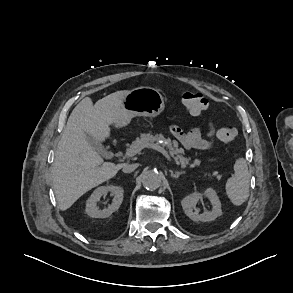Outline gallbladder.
Here are the masks:
<instances>
[{
  "label": "gallbladder",
  "mask_w": 293,
  "mask_h": 293,
  "mask_svg": "<svg viewBox=\"0 0 293 293\" xmlns=\"http://www.w3.org/2000/svg\"><path fill=\"white\" fill-rule=\"evenodd\" d=\"M87 140L89 144L100 154L105 155L106 151L101 144V142L97 141L95 138L91 137L90 135H87Z\"/></svg>",
  "instance_id": "obj_1"
}]
</instances>
